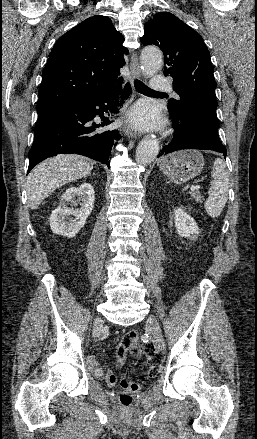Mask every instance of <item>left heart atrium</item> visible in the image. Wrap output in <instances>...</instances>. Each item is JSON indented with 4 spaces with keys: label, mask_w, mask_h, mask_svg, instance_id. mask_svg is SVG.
Returning <instances> with one entry per match:
<instances>
[{
    "label": "left heart atrium",
    "mask_w": 257,
    "mask_h": 439,
    "mask_svg": "<svg viewBox=\"0 0 257 439\" xmlns=\"http://www.w3.org/2000/svg\"><path fill=\"white\" fill-rule=\"evenodd\" d=\"M129 118L135 126L142 129L159 128L163 123L158 110L148 103H142L135 106L131 111Z\"/></svg>",
    "instance_id": "39dd6f15"
}]
</instances>
